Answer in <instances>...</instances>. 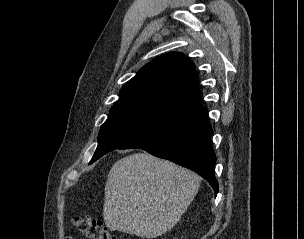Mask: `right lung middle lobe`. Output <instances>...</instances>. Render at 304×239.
I'll return each instance as SVG.
<instances>
[{"label": "right lung middle lobe", "instance_id": "1", "mask_svg": "<svg viewBox=\"0 0 304 239\" xmlns=\"http://www.w3.org/2000/svg\"><path fill=\"white\" fill-rule=\"evenodd\" d=\"M167 121L166 117L140 110L111 112L100 129L90 163Z\"/></svg>", "mask_w": 304, "mask_h": 239}]
</instances>
